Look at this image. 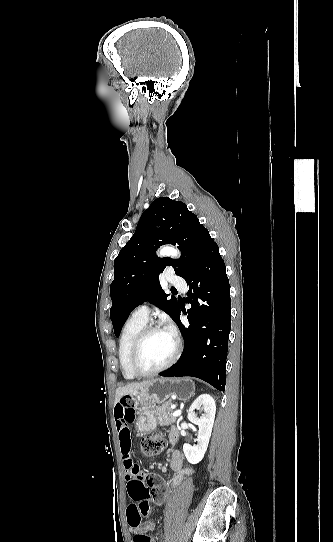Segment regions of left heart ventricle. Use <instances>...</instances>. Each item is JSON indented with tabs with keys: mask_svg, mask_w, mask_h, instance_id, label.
I'll use <instances>...</instances> for the list:
<instances>
[{
	"mask_svg": "<svg viewBox=\"0 0 333 542\" xmlns=\"http://www.w3.org/2000/svg\"><path fill=\"white\" fill-rule=\"evenodd\" d=\"M173 348L174 338L165 329L151 333L139 352L138 367L143 371L158 368L169 359Z\"/></svg>",
	"mask_w": 333,
	"mask_h": 542,
	"instance_id": "left-heart-ventricle-1",
	"label": "left heart ventricle"
}]
</instances>
